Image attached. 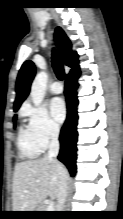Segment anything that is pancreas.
Masks as SVG:
<instances>
[{"label": "pancreas", "instance_id": "obj_1", "mask_svg": "<svg viewBox=\"0 0 123 219\" xmlns=\"http://www.w3.org/2000/svg\"><path fill=\"white\" fill-rule=\"evenodd\" d=\"M46 205L43 204V203H40L38 206H37V209L36 211H46Z\"/></svg>", "mask_w": 123, "mask_h": 219}]
</instances>
